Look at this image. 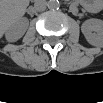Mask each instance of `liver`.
Listing matches in <instances>:
<instances>
[{"instance_id":"liver-1","label":"liver","mask_w":103,"mask_h":103,"mask_svg":"<svg viewBox=\"0 0 103 103\" xmlns=\"http://www.w3.org/2000/svg\"><path fill=\"white\" fill-rule=\"evenodd\" d=\"M28 5L29 2L25 0H6L1 2V36L22 18Z\"/></svg>"}]
</instances>
